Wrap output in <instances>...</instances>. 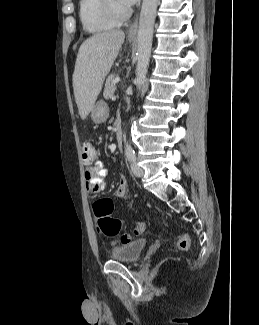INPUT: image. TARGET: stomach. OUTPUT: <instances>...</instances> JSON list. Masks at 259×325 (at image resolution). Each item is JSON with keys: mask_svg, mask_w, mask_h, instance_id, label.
I'll use <instances>...</instances> for the list:
<instances>
[{"mask_svg": "<svg viewBox=\"0 0 259 325\" xmlns=\"http://www.w3.org/2000/svg\"><path fill=\"white\" fill-rule=\"evenodd\" d=\"M108 106L107 104L100 100L94 103L93 108L91 110V119L94 123H102L105 122L108 118Z\"/></svg>", "mask_w": 259, "mask_h": 325, "instance_id": "obj_1", "label": "stomach"}]
</instances>
